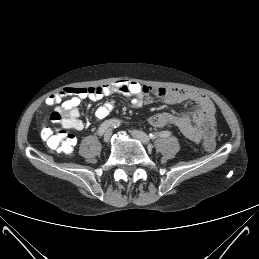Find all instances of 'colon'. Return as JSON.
<instances>
[{
    "instance_id": "5ec220e1",
    "label": "colon",
    "mask_w": 259,
    "mask_h": 259,
    "mask_svg": "<svg viewBox=\"0 0 259 259\" xmlns=\"http://www.w3.org/2000/svg\"><path fill=\"white\" fill-rule=\"evenodd\" d=\"M50 120L56 124H62L65 127V118L63 114L59 110H55L50 114ZM44 137L46 139L47 145L57 150L59 153H63L65 155H71L74 150V146L76 143V139L74 135L69 133L65 129H51L49 127H45L43 129ZM215 137H216V129H215V121H209L205 126V138H204V148L207 151H212L215 148Z\"/></svg>"
}]
</instances>
